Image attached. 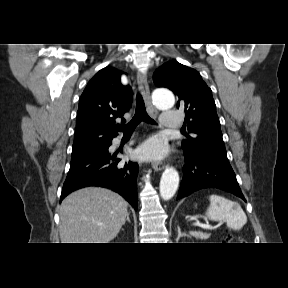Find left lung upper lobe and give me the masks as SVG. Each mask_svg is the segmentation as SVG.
Listing matches in <instances>:
<instances>
[{
    "instance_id": "5c2ea615",
    "label": "left lung upper lobe",
    "mask_w": 288,
    "mask_h": 288,
    "mask_svg": "<svg viewBox=\"0 0 288 288\" xmlns=\"http://www.w3.org/2000/svg\"><path fill=\"white\" fill-rule=\"evenodd\" d=\"M158 87H166L178 96L177 108H184V124L191 133L182 141L185 152H205L221 160L228 161L222 139L216 105L211 89L201 75L175 60L159 67L153 75Z\"/></svg>"
}]
</instances>
